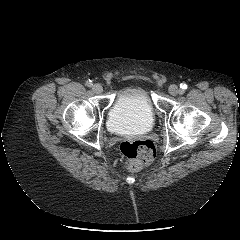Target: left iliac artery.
Here are the masks:
<instances>
[{
  "instance_id": "1",
  "label": "left iliac artery",
  "mask_w": 240,
  "mask_h": 240,
  "mask_svg": "<svg viewBox=\"0 0 240 240\" xmlns=\"http://www.w3.org/2000/svg\"><path fill=\"white\" fill-rule=\"evenodd\" d=\"M180 88H181L182 90H185V89L187 88V85H186V84H181V85H180Z\"/></svg>"
}]
</instances>
